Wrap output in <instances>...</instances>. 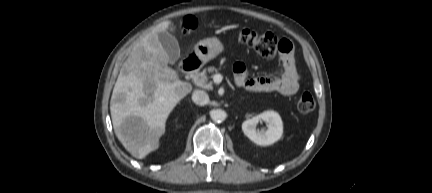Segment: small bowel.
Returning a JSON list of instances; mask_svg holds the SVG:
<instances>
[{"instance_id": "1", "label": "small bowel", "mask_w": 432, "mask_h": 193, "mask_svg": "<svg viewBox=\"0 0 432 193\" xmlns=\"http://www.w3.org/2000/svg\"><path fill=\"white\" fill-rule=\"evenodd\" d=\"M283 71L276 76L249 77L243 62H236L233 66L235 80L238 86L255 92H278L283 95L295 94L300 86L295 59L291 54L282 55Z\"/></svg>"}]
</instances>
